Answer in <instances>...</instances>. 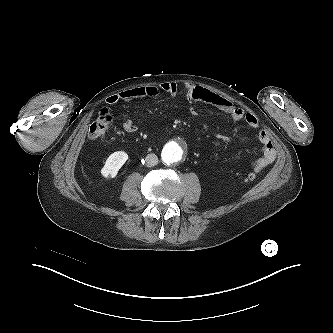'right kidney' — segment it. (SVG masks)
<instances>
[{
  "label": "right kidney",
  "instance_id": "right-kidney-1",
  "mask_svg": "<svg viewBox=\"0 0 333 333\" xmlns=\"http://www.w3.org/2000/svg\"><path fill=\"white\" fill-rule=\"evenodd\" d=\"M128 160V154L124 151H117L112 153L106 160L105 165L101 169V174L105 178L116 177L119 169Z\"/></svg>",
  "mask_w": 333,
  "mask_h": 333
}]
</instances>
